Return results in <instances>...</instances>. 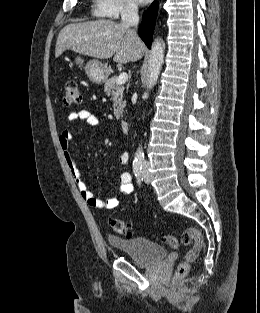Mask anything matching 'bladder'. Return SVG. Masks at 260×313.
<instances>
[{
  "mask_svg": "<svg viewBox=\"0 0 260 313\" xmlns=\"http://www.w3.org/2000/svg\"><path fill=\"white\" fill-rule=\"evenodd\" d=\"M107 240L111 247L131 256L139 266L149 267L167 256L163 246L145 238H123L110 235Z\"/></svg>",
  "mask_w": 260,
  "mask_h": 313,
  "instance_id": "obj_1",
  "label": "bladder"
}]
</instances>
